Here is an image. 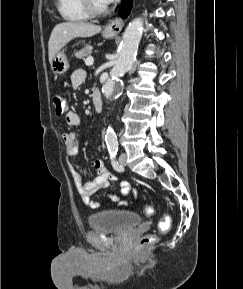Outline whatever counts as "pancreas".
Segmentation results:
<instances>
[{"instance_id": "1", "label": "pancreas", "mask_w": 243, "mask_h": 289, "mask_svg": "<svg viewBox=\"0 0 243 289\" xmlns=\"http://www.w3.org/2000/svg\"><path fill=\"white\" fill-rule=\"evenodd\" d=\"M91 53H92V46L87 45L83 49H81L80 51H77L75 53V57L78 59H83L85 57H88Z\"/></svg>"}]
</instances>
